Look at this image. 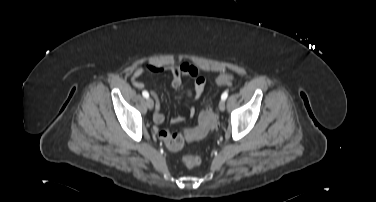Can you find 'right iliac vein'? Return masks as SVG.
I'll list each match as a JSON object with an SVG mask.
<instances>
[{
  "label": "right iliac vein",
  "mask_w": 376,
  "mask_h": 202,
  "mask_svg": "<svg viewBox=\"0 0 376 202\" xmlns=\"http://www.w3.org/2000/svg\"><path fill=\"white\" fill-rule=\"evenodd\" d=\"M146 105H147L148 109L152 110L153 107H154V102H153V100H152L151 98H147V100H146Z\"/></svg>",
  "instance_id": "1"
}]
</instances>
